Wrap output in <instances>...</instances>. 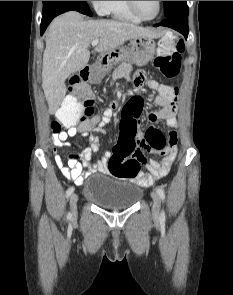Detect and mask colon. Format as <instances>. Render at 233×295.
I'll use <instances>...</instances> for the list:
<instances>
[{"instance_id": "colon-1", "label": "colon", "mask_w": 233, "mask_h": 295, "mask_svg": "<svg viewBox=\"0 0 233 295\" xmlns=\"http://www.w3.org/2000/svg\"><path fill=\"white\" fill-rule=\"evenodd\" d=\"M184 42L173 33L160 40L155 66L167 78L177 77L180 73L181 54ZM148 86L158 95L167 98L176 97L178 89L174 86L149 81ZM71 95L63 102L58 111V120L51 124L54 133H59L61 123L71 125L80 117L85 128H93L98 119L94 115V95L81 76L74 77L70 85ZM169 146L167 138L156 128L150 127L144 134L138 130V122L128 111L123 112L120 121V136L113 147L109 160V173L119 178H135L140 167L146 162L144 152L163 154Z\"/></svg>"}]
</instances>
